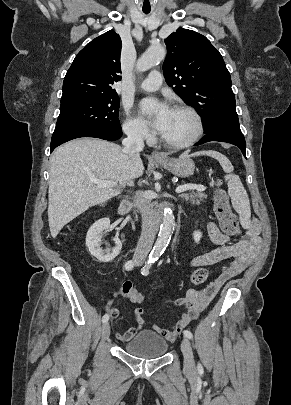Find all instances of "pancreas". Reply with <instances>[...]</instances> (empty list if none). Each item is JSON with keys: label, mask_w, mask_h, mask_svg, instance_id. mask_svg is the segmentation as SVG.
Here are the masks:
<instances>
[{"label": "pancreas", "mask_w": 291, "mask_h": 405, "mask_svg": "<svg viewBox=\"0 0 291 405\" xmlns=\"http://www.w3.org/2000/svg\"><path fill=\"white\" fill-rule=\"evenodd\" d=\"M181 198L192 204H199L201 201H205L207 199V195L202 191H198L196 193L192 192L190 194L184 193L181 195Z\"/></svg>", "instance_id": "pancreas-1"}]
</instances>
